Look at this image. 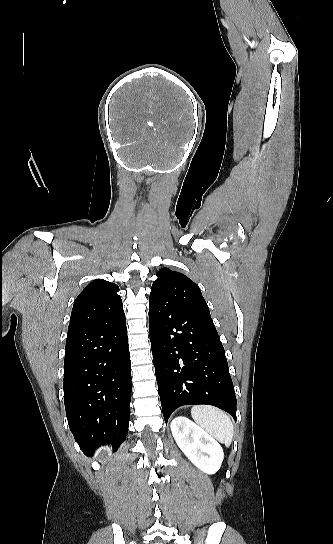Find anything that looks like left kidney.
Returning <instances> with one entry per match:
<instances>
[{
	"label": "left kidney",
	"instance_id": "obj_1",
	"mask_svg": "<svg viewBox=\"0 0 333 544\" xmlns=\"http://www.w3.org/2000/svg\"><path fill=\"white\" fill-rule=\"evenodd\" d=\"M170 427L177 445L198 469L207 474L220 469L223 449L211 435L182 416L173 419Z\"/></svg>",
	"mask_w": 333,
	"mask_h": 544
}]
</instances>
